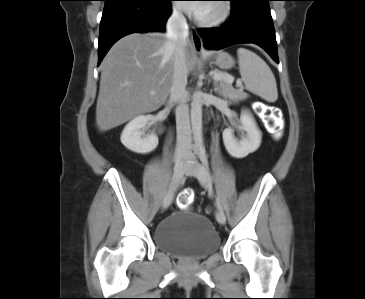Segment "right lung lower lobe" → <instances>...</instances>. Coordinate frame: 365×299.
<instances>
[{
    "mask_svg": "<svg viewBox=\"0 0 365 299\" xmlns=\"http://www.w3.org/2000/svg\"><path fill=\"white\" fill-rule=\"evenodd\" d=\"M171 0H110L100 23L98 65L111 46L134 32L164 31Z\"/></svg>",
    "mask_w": 365,
    "mask_h": 299,
    "instance_id": "right-lung-lower-lobe-1",
    "label": "right lung lower lobe"
}]
</instances>
